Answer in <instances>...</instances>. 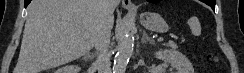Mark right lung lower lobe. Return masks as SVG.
<instances>
[{"label":"right lung lower lobe","mask_w":244,"mask_h":73,"mask_svg":"<svg viewBox=\"0 0 244 73\" xmlns=\"http://www.w3.org/2000/svg\"><path fill=\"white\" fill-rule=\"evenodd\" d=\"M31 2V0H25V7Z\"/></svg>","instance_id":"98d812e1"}]
</instances>
